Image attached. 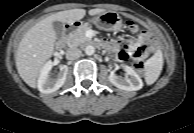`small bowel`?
I'll use <instances>...</instances> for the list:
<instances>
[{
  "instance_id": "obj_1",
  "label": "small bowel",
  "mask_w": 194,
  "mask_h": 133,
  "mask_svg": "<svg viewBox=\"0 0 194 133\" xmlns=\"http://www.w3.org/2000/svg\"><path fill=\"white\" fill-rule=\"evenodd\" d=\"M101 44L120 61L142 59L154 49V39L148 31L141 32L136 39L105 40Z\"/></svg>"
}]
</instances>
